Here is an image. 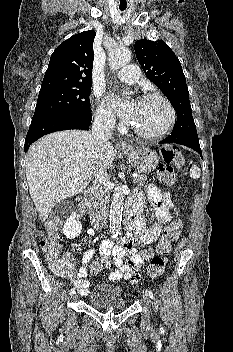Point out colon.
I'll return each instance as SVG.
<instances>
[{
    "mask_svg": "<svg viewBox=\"0 0 233 352\" xmlns=\"http://www.w3.org/2000/svg\"><path fill=\"white\" fill-rule=\"evenodd\" d=\"M162 163L158 167L159 180L167 185L175 184V174L173 166H182L184 158L178 147L165 145L160 149ZM61 223L60 219L52 216L47 221L48 237L41 240L40 246L42 253L50 263L51 270L60 276L67 274L71 267L65 259L60 257L61 247L55 240L57 229ZM183 229L181 220L172 221L164 230L160 242L157 244V254L151 259L148 267V278L153 280L160 276L165 267V259L171 251L172 243L177 241ZM111 267L110 256L100 254L90 265V271L93 275L99 274L102 270Z\"/></svg>",
    "mask_w": 233,
    "mask_h": 352,
    "instance_id": "colon-1",
    "label": "colon"
}]
</instances>
